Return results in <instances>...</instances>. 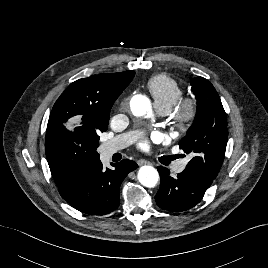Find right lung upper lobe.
<instances>
[{
	"instance_id": "right-lung-upper-lobe-1",
	"label": "right lung upper lobe",
	"mask_w": 268,
	"mask_h": 268,
	"mask_svg": "<svg viewBox=\"0 0 268 268\" xmlns=\"http://www.w3.org/2000/svg\"><path fill=\"white\" fill-rule=\"evenodd\" d=\"M134 75L135 72L129 70L93 75L71 83L54 104L63 108V122L55 125L54 129L69 131L65 128L64 123L72 117L81 118V126L76 127L74 131H83L94 123H108L113 103L129 85ZM52 128V122L49 118L47 132ZM53 178L63 198L71 192L78 180V178L73 181L59 177Z\"/></svg>"
}]
</instances>
